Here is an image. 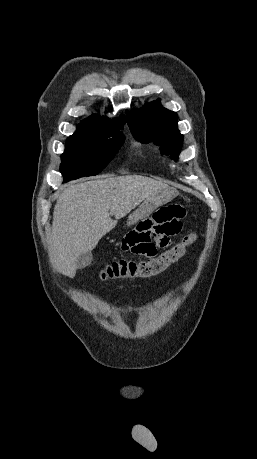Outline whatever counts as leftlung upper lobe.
Wrapping results in <instances>:
<instances>
[{"mask_svg":"<svg viewBox=\"0 0 257 459\" xmlns=\"http://www.w3.org/2000/svg\"><path fill=\"white\" fill-rule=\"evenodd\" d=\"M127 124L134 138L142 143L154 141L161 146L162 153H171V158L179 155L183 135L177 128V114L163 108L160 100L145 105L137 112H126Z\"/></svg>","mask_w":257,"mask_h":459,"instance_id":"left-lung-upper-lobe-1","label":"left lung upper lobe"}]
</instances>
